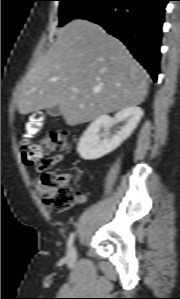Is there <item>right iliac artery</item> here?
<instances>
[{
	"label": "right iliac artery",
	"mask_w": 180,
	"mask_h": 299,
	"mask_svg": "<svg viewBox=\"0 0 180 299\" xmlns=\"http://www.w3.org/2000/svg\"><path fill=\"white\" fill-rule=\"evenodd\" d=\"M73 241H74V233H71L67 243L68 249H70V247L72 246Z\"/></svg>",
	"instance_id": "right-iliac-artery-1"
}]
</instances>
